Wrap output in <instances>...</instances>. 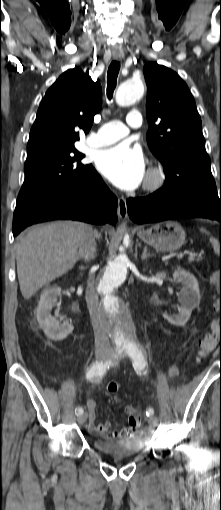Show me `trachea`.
Segmentation results:
<instances>
[{
    "label": "trachea",
    "instance_id": "trachea-1",
    "mask_svg": "<svg viewBox=\"0 0 221 510\" xmlns=\"http://www.w3.org/2000/svg\"><path fill=\"white\" fill-rule=\"evenodd\" d=\"M120 70V63L112 61L107 72V96L111 100L116 87L117 77Z\"/></svg>",
    "mask_w": 221,
    "mask_h": 510
}]
</instances>
